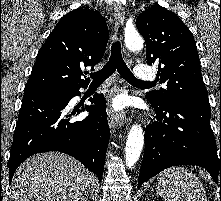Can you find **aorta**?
<instances>
[{
    "instance_id": "aorta-1",
    "label": "aorta",
    "mask_w": 221,
    "mask_h": 201,
    "mask_svg": "<svg viewBox=\"0 0 221 201\" xmlns=\"http://www.w3.org/2000/svg\"><path fill=\"white\" fill-rule=\"evenodd\" d=\"M126 47L131 51H138L143 47V39L139 34L125 38ZM144 135L141 125H132L125 147V162L128 168H132L138 161L143 149Z\"/></svg>"
}]
</instances>
